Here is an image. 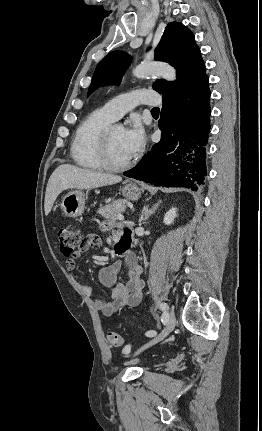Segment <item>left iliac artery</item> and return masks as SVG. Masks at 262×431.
<instances>
[{
  "label": "left iliac artery",
  "mask_w": 262,
  "mask_h": 431,
  "mask_svg": "<svg viewBox=\"0 0 262 431\" xmlns=\"http://www.w3.org/2000/svg\"><path fill=\"white\" fill-rule=\"evenodd\" d=\"M160 309H161L162 311H166V310L168 309V305H167L166 303H161V304H160ZM145 335H146V336H148V337H153V336H155V335H156V331H154V330H149V331H147V332L145 333ZM129 351H130V345H127V346L123 349V352H124L125 354H127V353H129Z\"/></svg>",
  "instance_id": "44dca946"
}]
</instances>
